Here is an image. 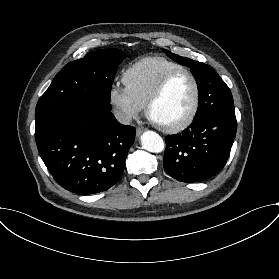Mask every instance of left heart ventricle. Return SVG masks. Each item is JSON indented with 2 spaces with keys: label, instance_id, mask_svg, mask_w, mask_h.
I'll use <instances>...</instances> for the list:
<instances>
[{
  "label": "left heart ventricle",
  "instance_id": "obj_1",
  "mask_svg": "<svg viewBox=\"0 0 279 279\" xmlns=\"http://www.w3.org/2000/svg\"><path fill=\"white\" fill-rule=\"evenodd\" d=\"M195 95L191 78L182 74L175 78L152 108V117L163 124H174L190 111Z\"/></svg>",
  "mask_w": 279,
  "mask_h": 279
}]
</instances>
